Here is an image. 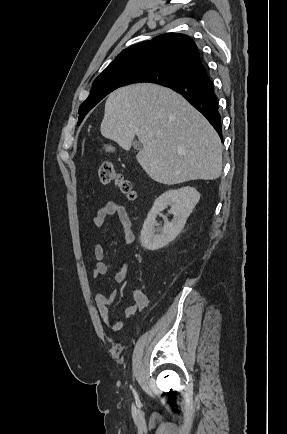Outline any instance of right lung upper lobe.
<instances>
[{"label": "right lung upper lobe", "instance_id": "obj_1", "mask_svg": "<svg viewBox=\"0 0 287 434\" xmlns=\"http://www.w3.org/2000/svg\"><path fill=\"white\" fill-rule=\"evenodd\" d=\"M201 64L198 47L189 36L167 33L124 49L96 79L146 70H161L182 76Z\"/></svg>", "mask_w": 287, "mask_h": 434}]
</instances>
